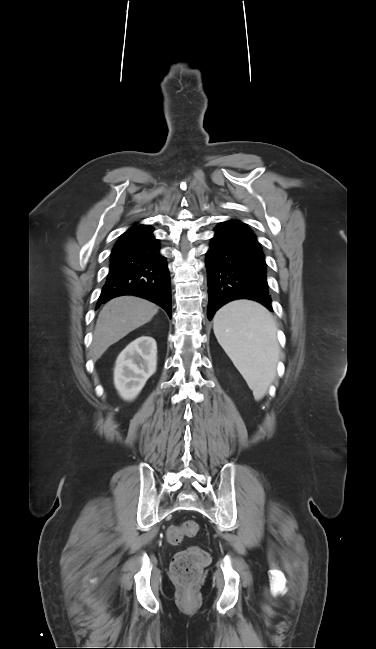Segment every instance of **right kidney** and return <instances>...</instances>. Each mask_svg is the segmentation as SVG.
<instances>
[{
    "label": "right kidney",
    "mask_w": 376,
    "mask_h": 649,
    "mask_svg": "<svg viewBox=\"0 0 376 649\" xmlns=\"http://www.w3.org/2000/svg\"><path fill=\"white\" fill-rule=\"evenodd\" d=\"M157 345L155 339L140 336L117 357L114 384L120 396L133 400L156 371Z\"/></svg>",
    "instance_id": "right-kidney-1"
}]
</instances>
